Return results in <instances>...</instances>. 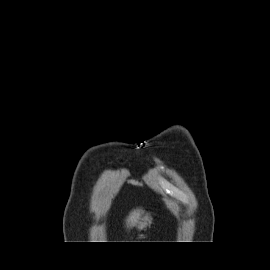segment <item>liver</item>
Returning a JSON list of instances; mask_svg holds the SVG:
<instances>
[{"label":"liver","instance_id":"1","mask_svg":"<svg viewBox=\"0 0 270 270\" xmlns=\"http://www.w3.org/2000/svg\"><path fill=\"white\" fill-rule=\"evenodd\" d=\"M143 212L144 211L140 208L134 209L126 219L127 228L133 227L137 223Z\"/></svg>","mask_w":270,"mask_h":270}]
</instances>
